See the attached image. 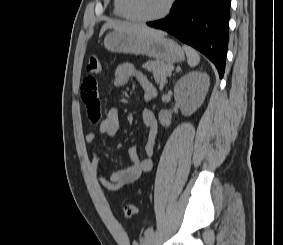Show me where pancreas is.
<instances>
[{
	"label": "pancreas",
	"mask_w": 283,
	"mask_h": 245,
	"mask_svg": "<svg viewBox=\"0 0 283 245\" xmlns=\"http://www.w3.org/2000/svg\"><path fill=\"white\" fill-rule=\"evenodd\" d=\"M143 67L153 73L156 83L162 88L166 83V78L170 75L171 65L159 60L147 61Z\"/></svg>",
	"instance_id": "1"
}]
</instances>
